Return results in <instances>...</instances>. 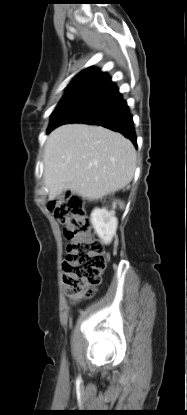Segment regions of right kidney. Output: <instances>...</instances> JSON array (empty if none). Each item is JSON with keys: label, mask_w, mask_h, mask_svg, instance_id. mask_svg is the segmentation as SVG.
I'll return each mask as SVG.
<instances>
[{"label": "right kidney", "mask_w": 187, "mask_h": 415, "mask_svg": "<svg viewBox=\"0 0 187 415\" xmlns=\"http://www.w3.org/2000/svg\"><path fill=\"white\" fill-rule=\"evenodd\" d=\"M113 208H115V203ZM91 223L102 242L109 244L116 234L118 225L114 211H108L106 208H95L91 213Z\"/></svg>", "instance_id": "1"}]
</instances>
